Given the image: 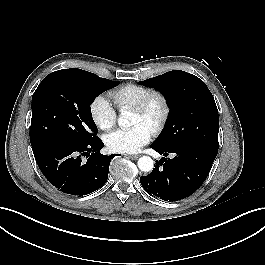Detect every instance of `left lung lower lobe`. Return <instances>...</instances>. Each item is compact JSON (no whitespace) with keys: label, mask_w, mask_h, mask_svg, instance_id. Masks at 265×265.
<instances>
[{"label":"left lung lower lobe","mask_w":265,"mask_h":265,"mask_svg":"<svg viewBox=\"0 0 265 265\" xmlns=\"http://www.w3.org/2000/svg\"><path fill=\"white\" fill-rule=\"evenodd\" d=\"M163 156L173 153L174 158L156 161L155 169L140 177L144 190L166 201L181 200L193 194L209 174L217 153L196 145L159 148L151 145Z\"/></svg>","instance_id":"0a47b994"}]
</instances>
